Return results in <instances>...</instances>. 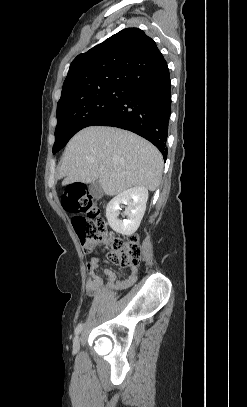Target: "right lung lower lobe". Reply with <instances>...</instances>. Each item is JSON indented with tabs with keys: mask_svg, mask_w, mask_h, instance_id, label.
Returning <instances> with one entry per match:
<instances>
[{
	"mask_svg": "<svg viewBox=\"0 0 247 407\" xmlns=\"http://www.w3.org/2000/svg\"><path fill=\"white\" fill-rule=\"evenodd\" d=\"M170 113L171 81L166 63L154 74L134 82L121 103L94 125L132 131L153 143L166 160Z\"/></svg>",
	"mask_w": 247,
	"mask_h": 407,
	"instance_id": "right-lung-lower-lobe-1",
	"label": "right lung lower lobe"
}]
</instances>
